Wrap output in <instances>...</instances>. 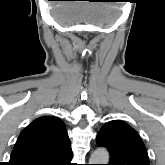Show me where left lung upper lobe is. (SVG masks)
Listing matches in <instances>:
<instances>
[{"label":"left lung upper lobe","mask_w":165,"mask_h":165,"mask_svg":"<svg viewBox=\"0 0 165 165\" xmlns=\"http://www.w3.org/2000/svg\"><path fill=\"white\" fill-rule=\"evenodd\" d=\"M96 143L108 148L109 165H150L140 136L125 122L106 123L97 134Z\"/></svg>","instance_id":"left-lung-upper-lobe-1"}]
</instances>
